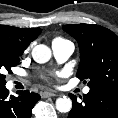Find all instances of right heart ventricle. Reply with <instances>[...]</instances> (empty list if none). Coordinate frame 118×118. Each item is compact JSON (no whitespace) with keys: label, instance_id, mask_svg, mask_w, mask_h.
I'll return each instance as SVG.
<instances>
[{"label":"right heart ventricle","instance_id":"obj_1","mask_svg":"<svg viewBox=\"0 0 118 118\" xmlns=\"http://www.w3.org/2000/svg\"><path fill=\"white\" fill-rule=\"evenodd\" d=\"M54 40H61V39H59V38H56V39H54Z\"/></svg>","mask_w":118,"mask_h":118}]
</instances>
